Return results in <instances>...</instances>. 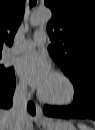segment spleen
<instances>
[{
	"label": "spleen",
	"instance_id": "spleen-1",
	"mask_svg": "<svg viewBox=\"0 0 95 130\" xmlns=\"http://www.w3.org/2000/svg\"><path fill=\"white\" fill-rule=\"evenodd\" d=\"M77 126H78L79 130H92V128H90L89 126L82 124V123L77 124Z\"/></svg>",
	"mask_w": 95,
	"mask_h": 130
}]
</instances>
